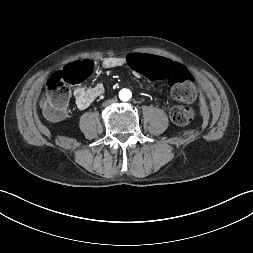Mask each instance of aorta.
<instances>
[{"instance_id":"1","label":"aorta","mask_w":253,"mask_h":253,"mask_svg":"<svg viewBox=\"0 0 253 253\" xmlns=\"http://www.w3.org/2000/svg\"><path fill=\"white\" fill-rule=\"evenodd\" d=\"M119 97H120V99H121L122 101H127V100L130 99L131 93H130V91L124 89V90H122V91L120 92Z\"/></svg>"}]
</instances>
